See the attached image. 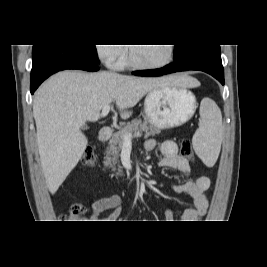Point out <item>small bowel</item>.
I'll return each mask as SVG.
<instances>
[{
  "mask_svg": "<svg viewBox=\"0 0 267 267\" xmlns=\"http://www.w3.org/2000/svg\"><path fill=\"white\" fill-rule=\"evenodd\" d=\"M145 148L152 151L159 148L162 154V159L159 162L160 167L171 168L179 171L184 176L190 175V167L186 158L178 153L177 144L172 140L158 141L149 139L146 141ZM210 186V179L201 175L193 180H189L182 184L173 185L172 189L176 193H186L193 199V207L187 209L180 217L179 222H193L204 216L208 208V200L205 191ZM121 202L122 199L119 195L113 194L101 197L95 200L91 206V219L97 220L100 213L113 209L111 219L113 221L119 220L121 216ZM166 219L173 222V214L171 211H165Z\"/></svg>",
  "mask_w": 267,
  "mask_h": 267,
  "instance_id": "obj_1",
  "label": "small bowel"
}]
</instances>
